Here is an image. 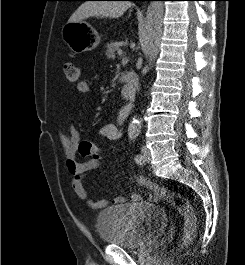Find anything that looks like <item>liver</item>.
I'll return each mask as SVG.
<instances>
[{"label": "liver", "mask_w": 245, "mask_h": 265, "mask_svg": "<svg viewBox=\"0 0 245 265\" xmlns=\"http://www.w3.org/2000/svg\"><path fill=\"white\" fill-rule=\"evenodd\" d=\"M131 5L128 1H87L71 15L68 22H80L89 17L119 18Z\"/></svg>", "instance_id": "liver-1"}]
</instances>
